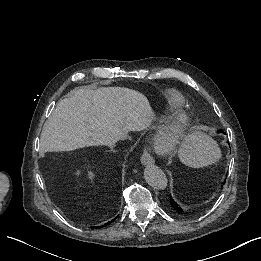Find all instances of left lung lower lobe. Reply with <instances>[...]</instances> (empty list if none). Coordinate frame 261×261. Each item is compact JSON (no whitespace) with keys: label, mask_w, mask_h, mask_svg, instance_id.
<instances>
[{"label":"left lung lower lobe","mask_w":261,"mask_h":261,"mask_svg":"<svg viewBox=\"0 0 261 261\" xmlns=\"http://www.w3.org/2000/svg\"><path fill=\"white\" fill-rule=\"evenodd\" d=\"M171 202L170 205L172 207V210H174L177 213L183 214V209L178 205L172 198H170Z\"/></svg>","instance_id":"1"}]
</instances>
